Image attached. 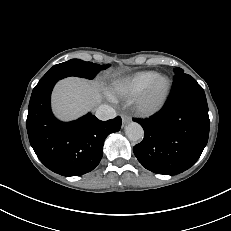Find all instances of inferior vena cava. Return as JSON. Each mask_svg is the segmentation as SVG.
Returning a JSON list of instances; mask_svg holds the SVG:
<instances>
[{"instance_id":"inferior-vena-cava-1","label":"inferior vena cava","mask_w":231,"mask_h":231,"mask_svg":"<svg viewBox=\"0 0 231 231\" xmlns=\"http://www.w3.org/2000/svg\"><path fill=\"white\" fill-rule=\"evenodd\" d=\"M116 111L113 107L109 106V105H100L97 110H96V114L95 116L103 121L109 120V119H113L116 117Z\"/></svg>"}]
</instances>
